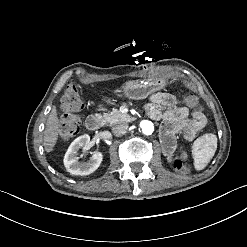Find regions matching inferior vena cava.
<instances>
[{"instance_id":"1","label":"inferior vena cava","mask_w":247,"mask_h":247,"mask_svg":"<svg viewBox=\"0 0 247 247\" xmlns=\"http://www.w3.org/2000/svg\"><path fill=\"white\" fill-rule=\"evenodd\" d=\"M128 124L125 122L116 123L112 127V132L116 136H121L127 132Z\"/></svg>"}]
</instances>
